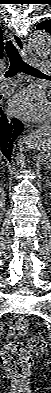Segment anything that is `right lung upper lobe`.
<instances>
[{
  "label": "right lung upper lobe",
  "instance_id": "right-lung-upper-lobe-1",
  "mask_svg": "<svg viewBox=\"0 0 51 393\" xmlns=\"http://www.w3.org/2000/svg\"><path fill=\"white\" fill-rule=\"evenodd\" d=\"M4 44L2 39V30L0 29V58L3 56Z\"/></svg>",
  "mask_w": 51,
  "mask_h": 393
}]
</instances>
